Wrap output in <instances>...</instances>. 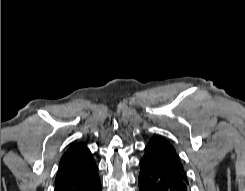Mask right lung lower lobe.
<instances>
[{"mask_svg": "<svg viewBox=\"0 0 245 191\" xmlns=\"http://www.w3.org/2000/svg\"><path fill=\"white\" fill-rule=\"evenodd\" d=\"M55 191H101L98 167L55 186Z\"/></svg>", "mask_w": 245, "mask_h": 191, "instance_id": "98d812e1", "label": "right lung lower lobe"}]
</instances>
